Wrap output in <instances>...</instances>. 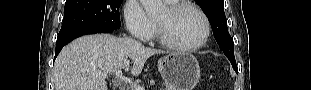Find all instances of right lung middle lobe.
I'll return each instance as SVG.
<instances>
[{"instance_id": "dd1d6c3e", "label": "right lung middle lobe", "mask_w": 311, "mask_h": 90, "mask_svg": "<svg viewBox=\"0 0 311 90\" xmlns=\"http://www.w3.org/2000/svg\"><path fill=\"white\" fill-rule=\"evenodd\" d=\"M122 0H66L64 20L57 39L90 28H120Z\"/></svg>"}]
</instances>
